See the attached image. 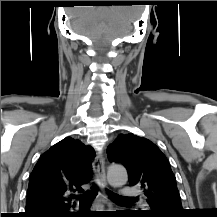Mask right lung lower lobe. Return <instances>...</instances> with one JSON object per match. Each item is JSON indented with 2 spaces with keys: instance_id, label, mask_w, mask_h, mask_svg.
Returning a JSON list of instances; mask_svg holds the SVG:
<instances>
[{
  "instance_id": "obj_1",
  "label": "right lung lower lobe",
  "mask_w": 217,
  "mask_h": 217,
  "mask_svg": "<svg viewBox=\"0 0 217 217\" xmlns=\"http://www.w3.org/2000/svg\"><path fill=\"white\" fill-rule=\"evenodd\" d=\"M77 215H75V214H68V215H63V216H61V217H76Z\"/></svg>"
}]
</instances>
